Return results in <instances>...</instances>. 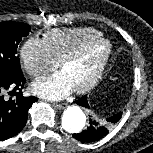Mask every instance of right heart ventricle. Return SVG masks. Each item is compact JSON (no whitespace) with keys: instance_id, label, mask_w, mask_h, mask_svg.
Segmentation results:
<instances>
[{"instance_id":"obj_1","label":"right heart ventricle","mask_w":153,"mask_h":153,"mask_svg":"<svg viewBox=\"0 0 153 153\" xmlns=\"http://www.w3.org/2000/svg\"><path fill=\"white\" fill-rule=\"evenodd\" d=\"M94 28H65L48 31L43 38L49 52L57 63L74 52L85 42L100 36Z\"/></svg>"}]
</instances>
